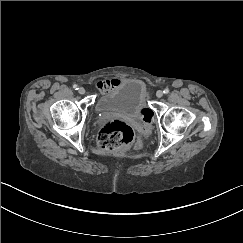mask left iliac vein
<instances>
[{"label": "left iliac vein", "instance_id": "1", "mask_svg": "<svg viewBox=\"0 0 243 243\" xmlns=\"http://www.w3.org/2000/svg\"><path fill=\"white\" fill-rule=\"evenodd\" d=\"M156 96H157L158 98H161V97L163 96V91L158 90V91L156 92Z\"/></svg>", "mask_w": 243, "mask_h": 243}]
</instances>
